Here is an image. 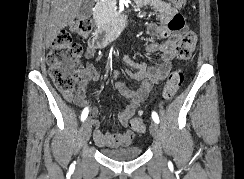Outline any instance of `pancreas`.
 Listing matches in <instances>:
<instances>
[{
	"instance_id": "1",
	"label": "pancreas",
	"mask_w": 244,
	"mask_h": 179,
	"mask_svg": "<svg viewBox=\"0 0 244 179\" xmlns=\"http://www.w3.org/2000/svg\"><path fill=\"white\" fill-rule=\"evenodd\" d=\"M112 2L113 0H104V2H100V4H98V6H100V12L103 14V18H110Z\"/></svg>"
}]
</instances>
